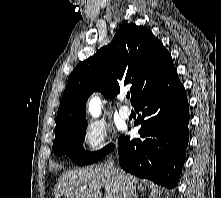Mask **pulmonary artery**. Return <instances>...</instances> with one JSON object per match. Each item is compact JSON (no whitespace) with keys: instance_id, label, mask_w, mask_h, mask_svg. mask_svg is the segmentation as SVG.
<instances>
[{"instance_id":"pulmonary-artery-1","label":"pulmonary artery","mask_w":221,"mask_h":198,"mask_svg":"<svg viewBox=\"0 0 221 198\" xmlns=\"http://www.w3.org/2000/svg\"><path fill=\"white\" fill-rule=\"evenodd\" d=\"M124 98H125L124 95H121V96H120V99H121V100H124ZM119 115H120L122 118H124V119L129 118L130 115H131V110H130V108H129L128 106H126V105L121 106L120 109H119Z\"/></svg>"}]
</instances>
